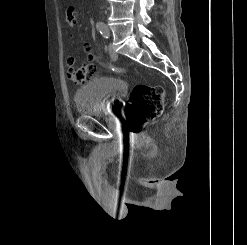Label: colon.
Here are the masks:
<instances>
[{"mask_svg": "<svg viewBox=\"0 0 247 245\" xmlns=\"http://www.w3.org/2000/svg\"><path fill=\"white\" fill-rule=\"evenodd\" d=\"M86 61L80 66H74V58L67 59V76L75 84H82L95 73L96 66L91 62V49L84 45ZM165 92L160 86L145 84L136 85L129 96L126 108V126L130 132L138 133L145 124L158 117L164 106Z\"/></svg>", "mask_w": 247, "mask_h": 245, "instance_id": "colon-1", "label": "colon"}]
</instances>
